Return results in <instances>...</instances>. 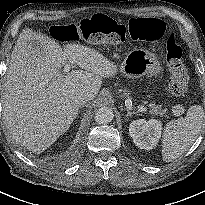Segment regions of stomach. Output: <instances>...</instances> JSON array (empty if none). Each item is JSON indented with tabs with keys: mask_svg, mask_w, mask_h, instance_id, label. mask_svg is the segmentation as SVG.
<instances>
[{
	"mask_svg": "<svg viewBox=\"0 0 205 205\" xmlns=\"http://www.w3.org/2000/svg\"><path fill=\"white\" fill-rule=\"evenodd\" d=\"M120 72L132 79L145 75L155 76L162 72V65L155 54L145 49L135 48L125 57Z\"/></svg>",
	"mask_w": 205,
	"mask_h": 205,
	"instance_id": "0dacf381",
	"label": "stomach"
}]
</instances>
